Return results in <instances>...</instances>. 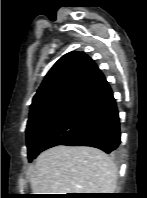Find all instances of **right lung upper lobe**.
I'll use <instances>...</instances> for the list:
<instances>
[{"mask_svg": "<svg viewBox=\"0 0 147 198\" xmlns=\"http://www.w3.org/2000/svg\"><path fill=\"white\" fill-rule=\"evenodd\" d=\"M105 80L94 61L82 52H69L50 69L35 94L30 112L55 103H73Z\"/></svg>", "mask_w": 147, "mask_h": 198, "instance_id": "1", "label": "right lung upper lobe"}]
</instances>
